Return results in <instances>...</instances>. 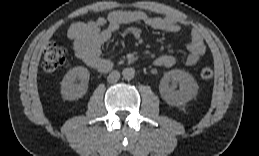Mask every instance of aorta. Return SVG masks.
I'll return each mask as SVG.
<instances>
[{
  "label": "aorta",
  "instance_id": "762f6f07",
  "mask_svg": "<svg viewBox=\"0 0 259 156\" xmlns=\"http://www.w3.org/2000/svg\"><path fill=\"white\" fill-rule=\"evenodd\" d=\"M123 78L126 80H131L135 76V70L133 68H125L122 71Z\"/></svg>",
  "mask_w": 259,
  "mask_h": 156
}]
</instances>
